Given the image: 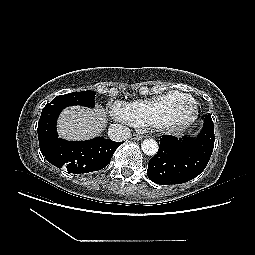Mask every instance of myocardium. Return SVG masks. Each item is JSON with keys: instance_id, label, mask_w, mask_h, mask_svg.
Masks as SVG:
<instances>
[{"instance_id": "obj_1", "label": "myocardium", "mask_w": 255, "mask_h": 255, "mask_svg": "<svg viewBox=\"0 0 255 255\" xmlns=\"http://www.w3.org/2000/svg\"><path fill=\"white\" fill-rule=\"evenodd\" d=\"M178 109L183 111L181 116L176 114ZM197 115L198 106L193 98L189 102H172L150 125L165 133H176L189 127L195 121Z\"/></svg>"}]
</instances>
